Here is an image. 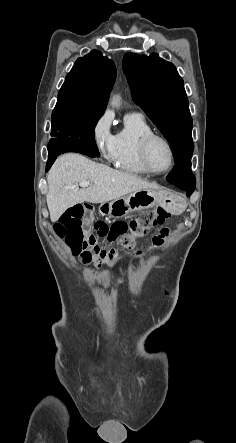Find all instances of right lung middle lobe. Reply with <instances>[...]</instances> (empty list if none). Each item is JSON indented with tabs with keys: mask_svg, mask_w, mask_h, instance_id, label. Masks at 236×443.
I'll list each match as a JSON object with an SVG mask.
<instances>
[{
	"mask_svg": "<svg viewBox=\"0 0 236 443\" xmlns=\"http://www.w3.org/2000/svg\"><path fill=\"white\" fill-rule=\"evenodd\" d=\"M103 111H85L69 107H55L52 112V139L63 144L84 143L96 145L95 126Z\"/></svg>",
	"mask_w": 236,
	"mask_h": 443,
	"instance_id": "dd1d6c3e",
	"label": "right lung middle lobe"
}]
</instances>
